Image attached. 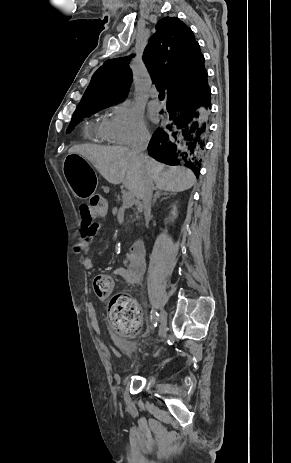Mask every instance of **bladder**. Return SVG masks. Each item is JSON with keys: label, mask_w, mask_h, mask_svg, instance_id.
<instances>
[{"label": "bladder", "mask_w": 291, "mask_h": 463, "mask_svg": "<svg viewBox=\"0 0 291 463\" xmlns=\"http://www.w3.org/2000/svg\"><path fill=\"white\" fill-rule=\"evenodd\" d=\"M117 347L120 353L124 356H131L135 353L136 346L132 342V340L127 338H120L117 339Z\"/></svg>", "instance_id": "obj_1"}]
</instances>
